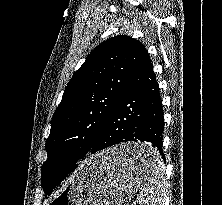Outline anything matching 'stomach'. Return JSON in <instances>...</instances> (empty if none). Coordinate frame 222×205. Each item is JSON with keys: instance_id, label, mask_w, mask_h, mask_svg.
I'll use <instances>...</instances> for the list:
<instances>
[{"instance_id": "stomach-1", "label": "stomach", "mask_w": 222, "mask_h": 205, "mask_svg": "<svg viewBox=\"0 0 222 205\" xmlns=\"http://www.w3.org/2000/svg\"><path fill=\"white\" fill-rule=\"evenodd\" d=\"M138 150L156 157L151 146L126 143L87 160L72 174L66 187L45 205H121L144 184L150 166H135L125 161L126 156Z\"/></svg>"}]
</instances>
